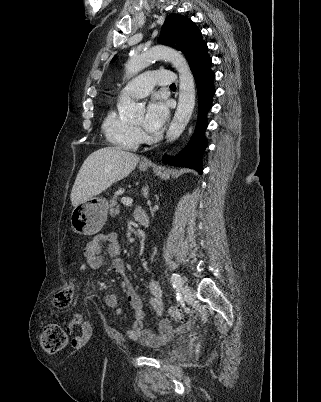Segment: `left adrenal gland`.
Masks as SVG:
<instances>
[{
	"mask_svg": "<svg viewBox=\"0 0 321 402\" xmlns=\"http://www.w3.org/2000/svg\"><path fill=\"white\" fill-rule=\"evenodd\" d=\"M148 193H149V188H148L147 185H145V186L143 187V195H144L145 197H148Z\"/></svg>",
	"mask_w": 321,
	"mask_h": 402,
	"instance_id": "1",
	"label": "left adrenal gland"
}]
</instances>
